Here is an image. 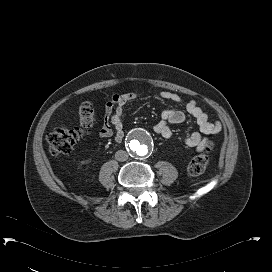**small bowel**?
<instances>
[{
    "label": "small bowel",
    "instance_id": "c3829d8e",
    "mask_svg": "<svg viewBox=\"0 0 272 272\" xmlns=\"http://www.w3.org/2000/svg\"><path fill=\"white\" fill-rule=\"evenodd\" d=\"M138 96L139 94L137 92L113 95L105 109L104 124L100 133L101 137L107 138L114 135L117 143L123 141L122 110L127 102L136 99ZM160 97L162 99L171 100L176 105L181 103V98L172 92H162ZM186 110L195 118L199 125V131L185 137L184 142L187 146L195 148L199 152L206 151L208 147V139L206 136L220 132L221 124L219 122H210L204 107L195 100H190L187 103ZM186 120V115L177 108H165L161 112V121L155 125L154 131L162 138L169 139L172 136L170 125L184 123Z\"/></svg>",
    "mask_w": 272,
    "mask_h": 272
}]
</instances>
